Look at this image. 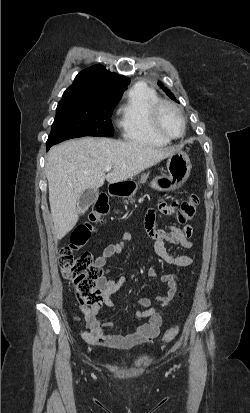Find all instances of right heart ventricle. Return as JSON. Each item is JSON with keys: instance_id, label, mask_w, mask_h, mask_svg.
<instances>
[{"instance_id": "e07e8e85", "label": "right heart ventricle", "mask_w": 250, "mask_h": 413, "mask_svg": "<svg viewBox=\"0 0 250 413\" xmlns=\"http://www.w3.org/2000/svg\"><path fill=\"white\" fill-rule=\"evenodd\" d=\"M158 101L160 98L156 91L144 83H137L127 91L119 108V128L125 140L154 147L169 143L151 126V111Z\"/></svg>"}]
</instances>
